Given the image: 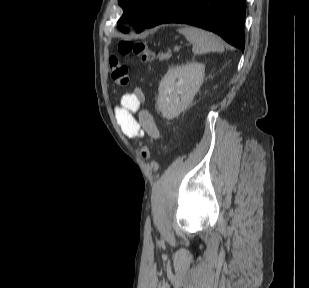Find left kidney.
I'll list each match as a JSON object with an SVG mask.
<instances>
[{"instance_id": "left-kidney-1", "label": "left kidney", "mask_w": 309, "mask_h": 288, "mask_svg": "<svg viewBox=\"0 0 309 288\" xmlns=\"http://www.w3.org/2000/svg\"><path fill=\"white\" fill-rule=\"evenodd\" d=\"M205 76V65L188 63L170 68L159 85L158 109L168 120L178 117L192 102Z\"/></svg>"}]
</instances>
